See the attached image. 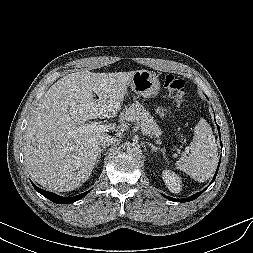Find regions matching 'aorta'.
Returning a JSON list of instances; mask_svg holds the SVG:
<instances>
[{
    "label": "aorta",
    "mask_w": 253,
    "mask_h": 253,
    "mask_svg": "<svg viewBox=\"0 0 253 253\" xmlns=\"http://www.w3.org/2000/svg\"><path fill=\"white\" fill-rule=\"evenodd\" d=\"M127 153L132 156H137L141 153V147L137 143H131L127 147Z\"/></svg>",
    "instance_id": "762f6f07"
}]
</instances>
